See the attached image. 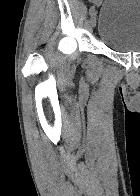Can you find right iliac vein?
<instances>
[{"label":"right iliac vein","instance_id":"right-iliac-vein-1","mask_svg":"<svg viewBox=\"0 0 140 196\" xmlns=\"http://www.w3.org/2000/svg\"><path fill=\"white\" fill-rule=\"evenodd\" d=\"M90 22L93 27L96 26V15L94 12L91 14Z\"/></svg>","mask_w":140,"mask_h":196}]
</instances>
